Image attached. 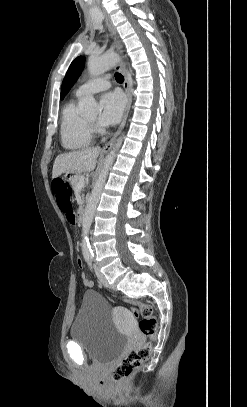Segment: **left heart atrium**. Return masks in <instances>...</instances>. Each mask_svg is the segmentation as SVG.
<instances>
[{"mask_svg":"<svg viewBox=\"0 0 247 407\" xmlns=\"http://www.w3.org/2000/svg\"><path fill=\"white\" fill-rule=\"evenodd\" d=\"M124 98L118 91L105 94L101 99L102 113L99 117V123L104 126L116 124L123 112Z\"/></svg>","mask_w":247,"mask_h":407,"instance_id":"left-heart-atrium-1","label":"left heart atrium"}]
</instances>
